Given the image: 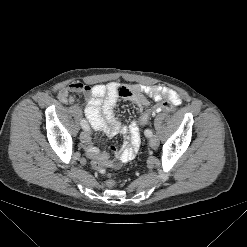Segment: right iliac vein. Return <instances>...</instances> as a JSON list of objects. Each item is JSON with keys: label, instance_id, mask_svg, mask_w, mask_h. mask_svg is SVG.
Wrapping results in <instances>:
<instances>
[{"label": "right iliac vein", "instance_id": "right-iliac-vein-1", "mask_svg": "<svg viewBox=\"0 0 247 247\" xmlns=\"http://www.w3.org/2000/svg\"><path fill=\"white\" fill-rule=\"evenodd\" d=\"M80 140L82 143H89L91 141V137H90V134L87 130H83L81 133H80Z\"/></svg>", "mask_w": 247, "mask_h": 247}]
</instances>
